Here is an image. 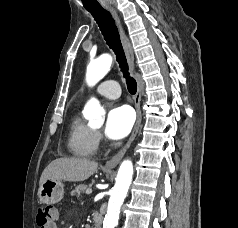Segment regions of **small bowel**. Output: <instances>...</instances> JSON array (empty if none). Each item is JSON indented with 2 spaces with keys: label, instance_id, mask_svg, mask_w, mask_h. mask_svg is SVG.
<instances>
[{
  "label": "small bowel",
  "instance_id": "c3829d8e",
  "mask_svg": "<svg viewBox=\"0 0 238 228\" xmlns=\"http://www.w3.org/2000/svg\"><path fill=\"white\" fill-rule=\"evenodd\" d=\"M50 228H57V224L54 222Z\"/></svg>",
  "mask_w": 238,
  "mask_h": 228
}]
</instances>
